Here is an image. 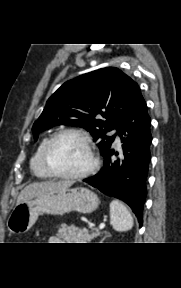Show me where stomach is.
<instances>
[{"mask_svg":"<svg viewBox=\"0 0 181 288\" xmlns=\"http://www.w3.org/2000/svg\"><path fill=\"white\" fill-rule=\"evenodd\" d=\"M99 205L95 193L84 187L50 191L17 204L7 220L14 233L27 232L42 213L63 215L71 211L91 213Z\"/></svg>","mask_w":181,"mask_h":288,"instance_id":"stomach-1","label":"stomach"}]
</instances>
